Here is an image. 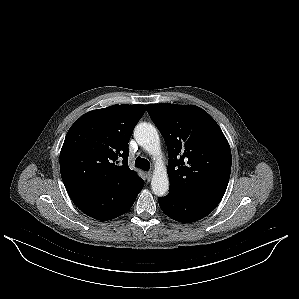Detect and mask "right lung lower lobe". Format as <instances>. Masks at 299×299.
<instances>
[{
  "label": "right lung lower lobe",
  "instance_id": "98d812e1",
  "mask_svg": "<svg viewBox=\"0 0 299 299\" xmlns=\"http://www.w3.org/2000/svg\"><path fill=\"white\" fill-rule=\"evenodd\" d=\"M142 188L130 197H126V189L120 184L83 189L69 193V196L74 204L86 215L101 221H107L126 213L132 207Z\"/></svg>",
  "mask_w": 299,
  "mask_h": 299
}]
</instances>
